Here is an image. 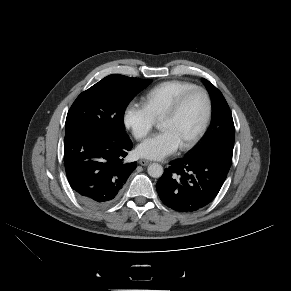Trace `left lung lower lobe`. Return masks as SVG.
<instances>
[{
	"label": "left lung lower lobe",
	"instance_id": "left-lung-lower-lobe-1",
	"mask_svg": "<svg viewBox=\"0 0 291 291\" xmlns=\"http://www.w3.org/2000/svg\"><path fill=\"white\" fill-rule=\"evenodd\" d=\"M232 155V150L212 148L172 161L156 184L160 199L179 212L205 207L220 191Z\"/></svg>",
	"mask_w": 291,
	"mask_h": 291
}]
</instances>
